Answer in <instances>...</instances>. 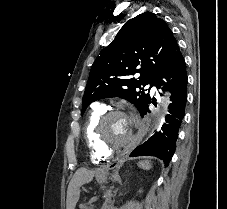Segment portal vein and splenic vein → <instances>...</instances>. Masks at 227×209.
Listing matches in <instances>:
<instances>
[{"label": "portal vein and splenic vein", "instance_id": "18ae733b", "mask_svg": "<svg viewBox=\"0 0 227 209\" xmlns=\"http://www.w3.org/2000/svg\"><path fill=\"white\" fill-rule=\"evenodd\" d=\"M95 199H96L95 197H94V198L92 197V198L90 199L89 202L91 203V202H93Z\"/></svg>", "mask_w": 227, "mask_h": 209}]
</instances>
